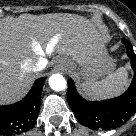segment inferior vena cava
<instances>
[{"label":"inferior vena cava","instance_id":"1","mask_svg":"<svg viewBox=\"0 0 136 136\" xmlns=\"http://www.w3.org/2000/svg\"><path fill=\"white\" fill-rule=\"evenodd\" d=\"M47 65V59L45 58H39L37 62H35L32 66L33 71H40L44 69Z\"/></svg>","mask_w":136,"mask_h":136}]
</instances>
